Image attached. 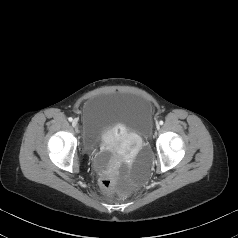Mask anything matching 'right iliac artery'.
I'll list each match as a JSON object with an SVG mask.
<instances>
[{"mask_svg":"<svg viewBox=\"0 0 238 238\" xmlns=\"http://www.w3.org/2000/svg\"><path fill=\"white\" fill-rule=\"evenodd\" d=\"M68 120L71 122L73 119H72V117H69Z\"/></svg>","mask_w":238,"mask_h":238,"instance_id":"right-iliac-artery-1","label":"right iliac artery"}]
</instances>
